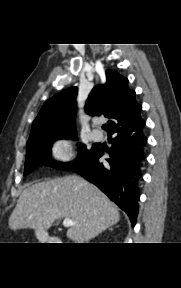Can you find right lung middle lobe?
<instances>
[{
  "mask_svg": "<svg viewBox=\"0 0 181 288\" xmlns=\"http://www.w3.org/2000/svg\"><path fill=\"white\" fill-rule=\"evenodd\" d=\"M69 135L74 136L75 133L71 132H50L41 134L35 138L28 140L27 151H26V161H25V170L24 176L29 174L32 170L36 169L39 166L50 165L54 168L70 170L75 166L87 159L92 152L95 150V147L87 149L86 146H80V152L77 159L70 163H61L52 161L49 157L51 153L52 143L58 139L60 135Z\"/></svg>",
  "mask_w": 181,
  "mask_h": 288,
  "instance_id": "1",
  "label": "right lung middle lobe"
}]
</instances>
